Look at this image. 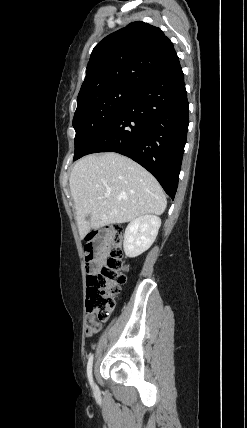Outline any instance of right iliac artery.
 Returning a JSON list of instances; mask_svg holds the SVG:
<instances>
[{"label": "right iliac artery", "mask_w": 247, "mask_h": 428, "mask_svg": "<svg viewBox=\"0 0 247 428\" xmlns=\"http://www.w3.org/2000/svg\"><path fill=\"white\" fill-rule=\"evenodd\" d=\"M92 365H93V354H91L89 356L88 363H87V375H88V379H89V382L91 385L93 384Z\"/></svg>", "instance_id": "obj_1"}]
</instances>
